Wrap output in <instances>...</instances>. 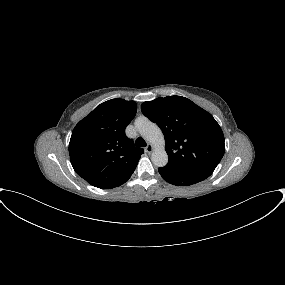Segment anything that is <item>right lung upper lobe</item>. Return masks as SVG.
Wrapping results in <instances>:
<instances>
[{
  "mask_svg": "<svg viewBox=\"0 0 285 285\" xmlns=\"http://www.w3.org/2000/svg\"><path fill=\"white\" fill-rule=\"evenodd\" d=\"M134 101L111 99L98 105L74 128L70 161L75 172L89 184L110 189L128 181L144 150L125 135L135 117Z\"/></svg>",
  "mask_w": 285,
  "mask_h": 285,
  "instance_id": "1",
  "label": "right lung upper lobe"
}]
</instances>
